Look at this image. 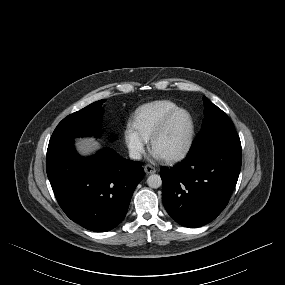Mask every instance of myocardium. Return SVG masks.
I'll return each mask as SVG.
<instances>
[{
    "mask_svg": "<svg viewBox=\"0 0 285 285\" xmlns=\"http://www.w3.org/2000/svg\"><path fill=\"white\" fill-rule=\"evenodd\" d=\"M180 113L185 114L189 120V132H188L187 141H186L184 148L178 154L170 156V157H161L167 163L179 162L183 160L184 158H186L187 155L190 153L193 147V144H194L195 133H196L195 121H194L192 114L187 109L181 108V107L172 110L163 118V120L160 122V124L158 125V127L155 129V131L150 137L151 150L154 153H156L155 145H156L157 140L164 134V132L166 131L172 119Z\"/></svg>",
    "mask_w": 285,
    "mask_h": 285,
    "instance_id": "myocardium-1",
    "label": "myocardium"
}]
</instances>
